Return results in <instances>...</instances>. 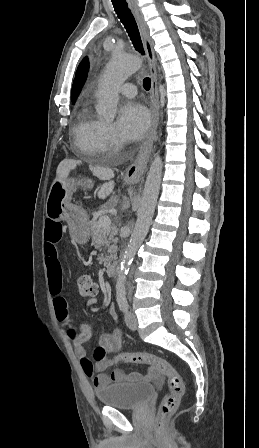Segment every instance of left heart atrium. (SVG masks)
I'll use <instances>...</instances> for the list:
<instances>
[{"instance_id":"39dd6f15","label":"left heart atrium","mask_w":259,"mask_h":448,"mask_svg":"<svg viewBox=\"0 0 259 448\" xmlns=\"http://www.w3.org/2000/svg\"><path fill=\"white\" fill-rule=\"evenodd\" d=\"M117 125L119 134L124 141H137L148 128V112L139 102H127L119 110Z\"/></svg>"}]
</instances>
